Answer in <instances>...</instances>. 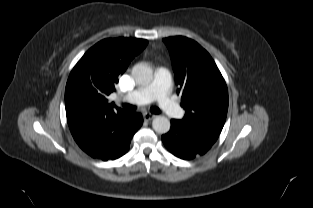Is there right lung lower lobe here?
<instances>
[{
	"instance_id": "1",
	"label": "right lung lower lobe",
	"mask_w": 313,
	"mask_h": 208,
	"mask_svg": "<svg viewBox=\"0 0 313 208\" xmlns=\"http://www.w3.org/2000/svg\"><path fill=\"white\" fill-rule=\"evenodd\" d=\"M70 131L80 148L93 158L114 160L129 150L142 125L138 113L89 114L67 118Z\"/></svg>"
}]
</instances>
